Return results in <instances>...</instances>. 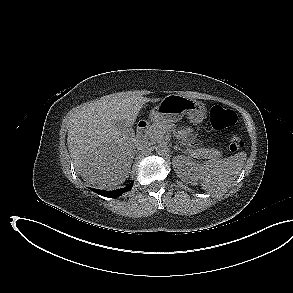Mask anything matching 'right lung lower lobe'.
I'll return each mask as SVG.
<instances>
[{
	"label": "right lung lower lobe",
	"mask_w": 293,
	"mask_h": 293,
	"mask_svg": "<svg viewBox=\"0 0 293 293\" xmlns=\"http://www.w3.org/2000/svg\"><path fill=\"white\" fill-rule=\"evenodd\" d=\"M133 183H131L130 185L121 188V189H117L114 191H104V190H100V189H94V188H90L92 191H94L95 193L105 196V197H110V198H115L120 196L121 194H123L126 191H129L132 188Z\"/></svg>",
	"instance_id": "obj_1"
}]
</instances>
